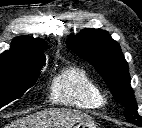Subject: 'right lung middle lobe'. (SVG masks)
I'll return each mask as SVG.
<instances>
[{
  "mask_svg": "<svg viewBox=\"0 0 142 128\" xmlns=\"http://www.w3.org/2000/svg\"><path fill=\"white\" fill-rule=\"evenodd\" d=\"M45 61L32 64L16 77L0 78V108L23 96L32 87L38 77Z\"/></svg>",
  "mask_w": 142,
  "mask_h": 128,
  "instance_id": "right-lung-middle-lobe-1",
  "label": "right lung middle lobe"
}]
</instances>
